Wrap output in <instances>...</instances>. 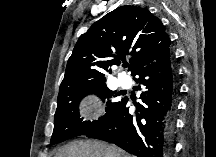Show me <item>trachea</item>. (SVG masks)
<instances>
[{"instance_id": "obj_1", "label": "trachea", "mask_w": 216, "mask_h": 157, "mask_svg": "<svg viewBox=\"0 0 216 157\" xmlns=\"http://www.w3.org/2000/svg\"><path fill=\"white\" fill-rule=\"evenodd\" d=\"M123 67H125V68L128 67V63H127V62H124V63H123Z\"/></svg>"}]
</instances>
